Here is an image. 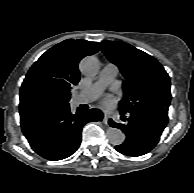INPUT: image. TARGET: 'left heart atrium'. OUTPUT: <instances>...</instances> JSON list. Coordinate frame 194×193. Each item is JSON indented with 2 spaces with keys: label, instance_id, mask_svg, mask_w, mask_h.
Here are the masks:
<instances>
[{
  "label": "left heart atrium",
  "instance_id": "left-heart-atrium-1",
  "mask_svg": "<svg viewBox=\"0 0 194 193\" xmlns=\"http://www.w3.org/2000/svg\"><path fill=\"white\" fill-rule=\"evenodd\" d=\"M114 99L111 96H106L102 100V105L106 108H111L114 105Z\"/></svg>",
  "mask_w": 194,
  "mask_h": 193
}]
</instances>
